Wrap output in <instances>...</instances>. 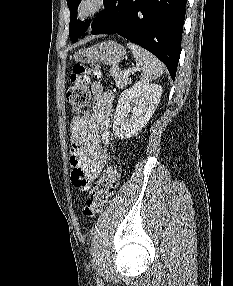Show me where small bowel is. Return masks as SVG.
Returning <instances> with one entry per match:
<instances>
[{
    "label": "small bowel",
    "instance_id": "obj_1",
    "mask_svg": "<svg viewBox=\"0 0 233 286\" xmlns=\"http://www.w3.org/2000/svg\"><path fill=\"white\" fill-rule=\"evenodd\" d=\"M91 94L88 109L71 121V182L82 191L89 189L109 160L113 94L99 82L92 84Z\"/></svg>",
    "mask_w": 233,
    "mask_h": 286
}]
</instances>
